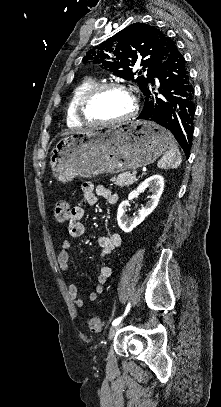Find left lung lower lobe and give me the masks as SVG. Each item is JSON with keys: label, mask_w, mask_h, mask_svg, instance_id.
Listing matches in <instances>:
<instances>
[{"label": "left lung lower lobe", "mask_w": 221, "mask_h": 407, "mask_svg": "<svg viewBox=\"0 0 221 407\" xmlns=\"http://www.w3.org/2000/svg\"><path fill=\"white\" fill-rule=\"evenodd\" d=\"M157 77L159 92H154ZM194 88L180 49L172 43L167 58L155 72L145 93L144 107L137 119L155 122L170 130L189 157L194 132Z\"/></svg>", "instance_id": "0a47b994"}]
</instances>
